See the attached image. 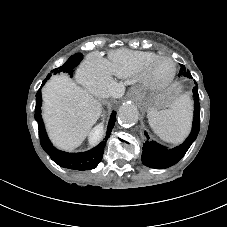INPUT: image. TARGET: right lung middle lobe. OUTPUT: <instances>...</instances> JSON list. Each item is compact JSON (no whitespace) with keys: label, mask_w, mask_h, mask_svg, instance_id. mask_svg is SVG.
Returning a JSON list of instances; mask_svg holds the SVG:
<instances>
[{"label":"right lung middle lobe","mask_w":227,"mask_h":227,"mask_svg":"<svg viewBox=\"0 0 227 227\" xmlns=\"http://www.w3.org/2000/svg\"><path fill=\"white\" fill-rule=\"evenodd\" d=\"M82 57L83 56L81 53H76L75 55L71 56L61 67L53 70L54 74L63 72V73H67L70 76H72L73 68L78 65L79 61L82 60ZM50 76H48L43 81V84L50 78Z\"/></svg>","instance_id":"obj_1"}]
</instances>
